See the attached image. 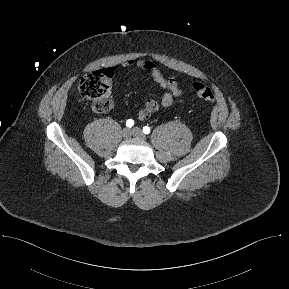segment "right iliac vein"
Segmentation results:
<instances>
[{"label": "right iliac vein", "mask_w": 289, "mask_h": 289, "mask_svg": "<svg viewBox=\"0 0 289 289\" xmlns=\"http://www.w3.org/2000/svg\"><path fill=\"white\" fill-rule=\"evenodd\" d=\"M132 135V131L129 128H124L122 130V136L124 138H129Z\"/></svg>", "instance_id": "right-iliac-vein-1"}]
</instances>
